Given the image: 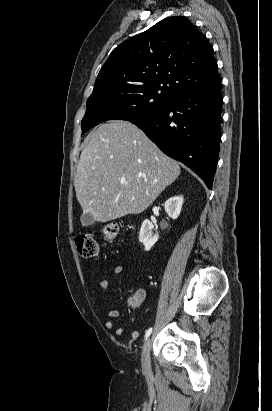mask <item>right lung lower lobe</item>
Returning a JSON list of instances; mask_svg holds the SVG:
<instances>
[{"label": "right lung lower lobe", "mask_w": 272, "mask_h": 411, "mask_svg": "<svg viewBox=\"0 0 272 411\" xmlns=\"http://www.w3.org/2000/svg\"><path fill=\"white\" fill-rule=\"evenodd\" d=\"M221 79L176 96L164 109L131 121L161 151L196 172L212 189L221 137Z\"/></svg>", "instance_id": "1"}]
</instances>
